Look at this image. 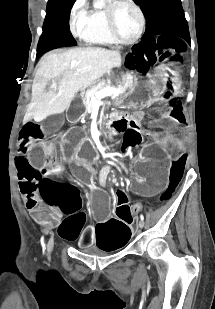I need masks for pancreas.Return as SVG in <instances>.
<instances>
[{
  "mask_svg": "<svg viewBox=\"0 0 215 309\" xmlns=\"http://www.w3.org/2000/svg\"><path fill=\"white\" fill-rule=\"evenodd\" d=\"M107 86H117L120 90H127L129 86H133V80H128V78H120V80H114V82H112L110 78H102V80H97V84H93V86H89L85 92H81V96L84 98L86 112H92L93 102L91 100V96H95V92H97V90H102V88H107ZM123 100L124 96H121V94L112 98L114 106H119V104H122Z\"/></svg>",
  "mask_w": 215,
  "mask_h": 309,
  "instance_id": "1",
  "label": "pancreas"
}]
</instances>
